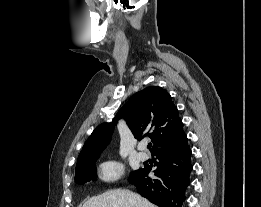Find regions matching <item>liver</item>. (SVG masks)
Wrapping results in <instances>:
<instances>
[{"label": "liver", "instance_id": "1", "mask_svg": "<svg viewBox=\"0 0 261 207\" xmlns=\"http://www.w3.org/2000/svg\"><path fill=\"white\" fill-rule=\"evenodd\" d=\"M83 207H156L139 194L129 190L114 189L93 197Z\"/></svg>", "mask_w": 261, "mask_h": 207}]
</instances>
